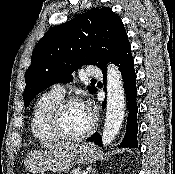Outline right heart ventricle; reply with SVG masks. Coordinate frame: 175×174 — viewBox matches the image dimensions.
<instances>
[{"label": "right heart ventricle", "mask_w": 175, "mask_h": 174, "mask_svg": "<svg viewBox=\"0 0 175 174\" xmlns=\"http://www.w3.org/2000/svg\"><path fill=\"white\" fill-rule=\"evenodd\" d=\"M62 96L50 91L39 97L35 103L32 118L31 131L34 138L41 143H52L58 139L48 128V114L51 108L60 100Z\"/></svg>", "instance_id": "right-heart-ventricle-1"}]
</instances>
